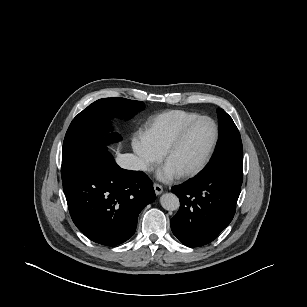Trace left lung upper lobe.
Returning a JSON list of instances; mask_svg holds the SVG:
<instances>
[{
    "label": "left lung upper lobe",
    "mask_w": 307,
    "mask_h": 307,
    "mask_svg": "<svg viewBox=\"0 0 307 307\" xmlns=\"http://www.w3.org/2000/svg\"><path fill=\"white\" fill-rule=\"evenodd\" d=\"M219 119V140L208 165L200 174L222 173L238 182L243 180V147L240 133L232 118L221 108Z\"/></svg>",
    "instance_id": "left-lung-upper-lobe-1"
}]
</instances>
